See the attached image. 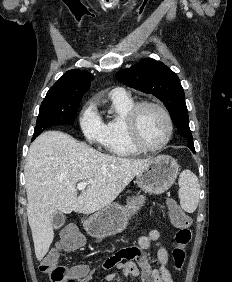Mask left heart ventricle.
<instances>
[{"mask_svg":"<svg viewBox=\"0 0 232 282\" xmlns=\"http://www.w3.org/2000/svg\"><path fill=\"white\" fill-rule=\"evenodd\" d=\"M138 132L146 145L160 144L168 132L167 123L162 113L155 108H144L139 115Z\"/></svg>","mask_w":232,"mask_h":282,"instance_id":"obj_1","label":"left heart ventricle"}]
</instances>
